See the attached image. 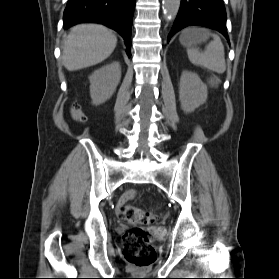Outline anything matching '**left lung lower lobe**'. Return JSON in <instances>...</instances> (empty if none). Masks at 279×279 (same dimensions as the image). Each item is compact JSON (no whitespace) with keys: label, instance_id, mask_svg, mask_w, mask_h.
Here are the masks:
<instances>
[{"label":"left lung lower lobe","instance_id":"0a47b994","mask_svg":"<svg viewBox=\"0 0 279 279\" xmlns=\"http://www.w3.org/2000/svg\"><path fill=\"white\" fill-rule=\"evenodd\" d=\"M226 20L223 0H181L179 12L168 35V41L174 33L193 25L218 30L229 40Z\"/></svg>","mask_w":279,"mask_h":279}]
</instances>
